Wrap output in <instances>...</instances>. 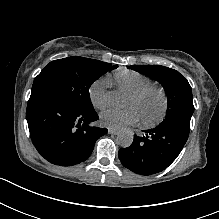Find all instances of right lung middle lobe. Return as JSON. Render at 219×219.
<instances>
[{"label":"right lung middle lobe","mask_w":219,"mask_h":219,"mask_svg":"<svg viewBox=\"0 0 219 219\" xmlns=\"http://www.w3.org/2000/svg\"><path fill=\"white\" fill-rule=\"evenodd\" d=\"M115 68L116 65L79 56L54 60L34 79L31 95H48L75 109L92 110L90 86Z\"/></svg>","instance_id":"right-lung-middle-lobe-1"}]
</instances>
